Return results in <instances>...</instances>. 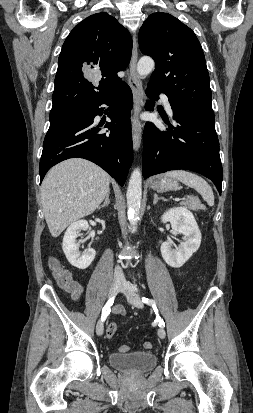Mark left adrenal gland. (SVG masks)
Here are the masks:
<instances>
[{"mask_svg": "<svg viewBox=\"0 0 253 413\" xmlns=\"http://www.w3.org/2000/svg\"><path fill=\"white\" fill-rule=\"evenodd\" d=\"M158 200L167 201L164 197H158L157 194H154L153 204L155 205L158 202Z\"/></svg>", "mask_w": 253, "mask_h": 413, "instance_id": "a2214340", "label": "left adrenal gland"}]
</instances>
